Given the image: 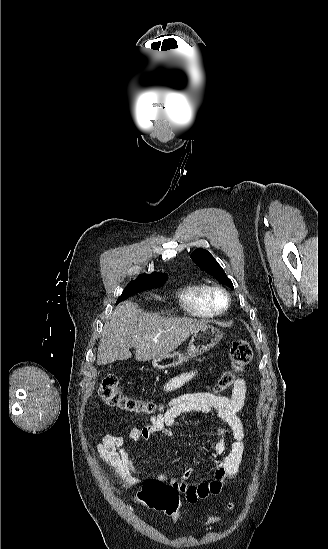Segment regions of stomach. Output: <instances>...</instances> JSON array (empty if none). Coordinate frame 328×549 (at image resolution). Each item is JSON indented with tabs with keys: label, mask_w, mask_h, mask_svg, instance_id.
<instances>
[{
	"label": "stomach",
	"mask_w": 328,
	"mask_h": 549,
	"mask_svg": "<svg viewBox=\"0 0 328 549\" xmlns=\"http://www.w3.org/2000/svg\"><path fill=\"white\" fill-rule=\"evenodd\" d=\"M220 339H222V331H219L213 325H207V327H202V329H198L193 333L186 355L184 353H168V355H163L159 359H153L152 365L154 369L179 367L188 359H193V357H198V355L213 349Z\"/></svg>",
	"instance_id": "stomach-1"
}]
</instances>
